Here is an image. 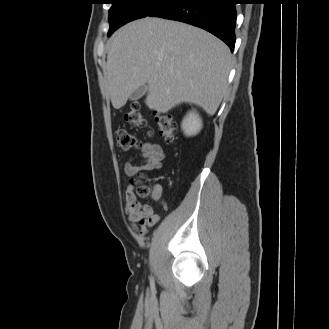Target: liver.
<instances>
[{"mask_svg": "<svg viewBox=\"0 0 329 329\" xmlns=\"http://www.w3.org/2000/svg\"><path fill=\"white\" fill-rule=\"evenodd\" d=\"M231 52L214 35L171 20L146 17L108 41L107 90L115 109L148 84L146 105L167 113L185 102L213 115L227 89Z\"/></svg>", "mask_w": 329, "mask_h": 329, "instance_id": "1", "label": "liver"}]
</instances>
